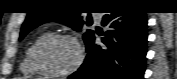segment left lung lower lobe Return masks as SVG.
Segmentation results:
<instances>
[{
  "mask_svg": "<svg viewBox=\"0 0 177 79\" xmlns=\"http://www.w3.org/2000/svg\"><path fill=\"white\" fill-rule=\"evenodd\" d=\"M107 13L102 24L109 30L103 35V44L95 45L93 35L84 63L69 79H143L147 52L146 14L137 11Z\"/></svg>",
  "mask_w": 177,
  "mask_h": 79,
  "instance_id": "1",
  "label": "left lung lower lobe"
}]
</instances>
